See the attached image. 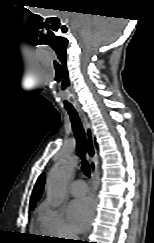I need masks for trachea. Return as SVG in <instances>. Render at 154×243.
Listing matches in <instances>:
<instances>
[{"label": "trachea", "mask_w": 154, "mask_h": 243, "mask_svg": "<svg viewBox=\"0 0 154 243\" xmlns=\"http://www.w3.org/2000/svg\"><path fill=\"white\" fill-rule=\"evenodd\" d=\"M66 111L68 112L71 123H72V130L74 133V136L76 138V150L79 154V156L82 159V171L86 176H90V165L85 159L86 155V135L85 131L83 129L82 123L80 121V118L74 108H66Z\"/></svg>", "instance_id": "3493384b"}]
</instances>
